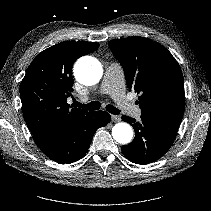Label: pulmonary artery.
I'll use <instances>...</instances> for the list:
<instances>
[{
    "mask_svg": "<svg viewBox=\"0 0 211 211\" xmlns=\"http://www.w3.org/2000/svg\"><path fill=\"white\" fill-rule=\"evenodd\" d=\"M101 92L110 94L125 113L137 118L141 116V109L126 98L124 74L119 64L111 63L105 69Z\"/></svg>",
    "mask_w": 211,
    "mask_h": 211,
    "instance_id": "1",
    "label": "pulmonary artery"
}]
</instances>
